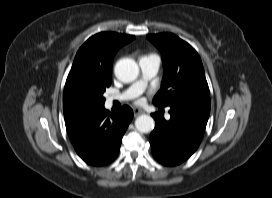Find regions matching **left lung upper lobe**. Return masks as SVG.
<instances>
[{
    "mask_svg": "<svg viewBox=\"0 0 272 198\" xmlns=\"http://www.w3.org/2000/svg\"><path fill=\"white\" fill-rule=\"evenodd\" d=\"M161 52L164 76L157 106L182 105L210 111V92L196 50L172 33L147 35Z\"/></svg>",
    "mask_w": 272,
    "mask_h": 198,
    "instance_id": "5c2ea615",
    "label": "left lung upper lobe"
}]
</instances>
